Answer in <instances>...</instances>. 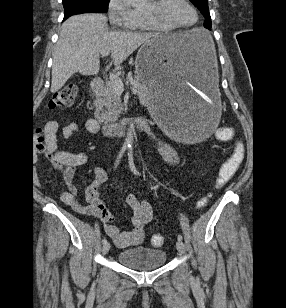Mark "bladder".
Masks as SVG:
<instances>
[{
    "mask_svg": "<svg viewBox=\"0 0 286 308\" xmlns=\"http://www.w3.org/2000/svg\"><path fill=\"white\" fill-rule=\"evenodd\" d=\"M117 258L119 263L127 268L149 271L164 265L167 259V253L162 249L136 246L120 251Z\"/></svg>",
    "mask_w": 286,
    "mask_h": 308,
    "instance_id": "bladder-1",
    "label": "bladder"
}]
</instances>
